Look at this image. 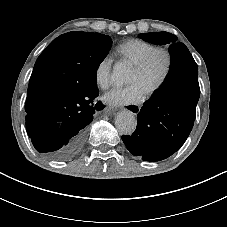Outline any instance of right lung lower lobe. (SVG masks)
Masks as SVG:
<instances>
[{"instance_id":"98d812e1","label":"right lung lower lobe","mask_w":227,"mask_h":227,"mask_svg":"<svg viewBox=\"0 0 227 227\" xmlns=\"http://www.w3.org/2000/svg\"><path fill=\"white\" fill-rule=\"evenodd\" d=\"M98 94V89L81 95L64 91L45 98L25 118L35 149L51 160L65 161L76 156L84 146L87 125L95 110L103 109L100 102L93 103Z\"/></svg>"}]
</instances>
